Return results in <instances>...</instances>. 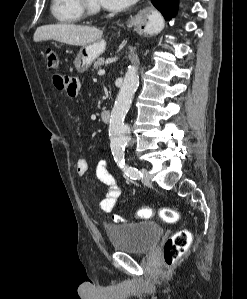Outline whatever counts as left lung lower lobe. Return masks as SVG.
<instances>
[{
    "label": "left lung lower lobe",
    "instance_id": "left-lung-lower-lobe-1",
    "mask_svg": "<svg viewBox=\"0 0 247 299\" xmlns=\"http://www.w3.org/2000/svg\"><path fill=\"white\" fill-rule=\"evenodd\" d=\"M153 5L162 13L166 20L172 18L176 11L178 0H151Z\"/></svg>",
    "mask_w": 247,
    "mask_h": 299
}]
</instances>
